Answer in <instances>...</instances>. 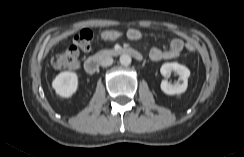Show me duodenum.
Instances as JSON below:
<instances>
[{"mask_svg": "<svg viewBox=\"0 0 244 157\" xmlns=\"http://www.w3.org/2000/svg\"><path fill=\"white\" fill-rule=\"evenodd\" d=\"M120 55H130L138 61L142 60L143 58L142 54L133 48H129V47L116 48V49L106 50L100 53L99 55L89 57L88 59H86L84 63V69L87 73H91V74L96 73L99 69L101 58L112 57V56L115 57Z\"/></svg>", "mask_w": 244, "mask_h": 157, "instance_id": "410a0bca", "label": "duodenum"}]
</instances>
